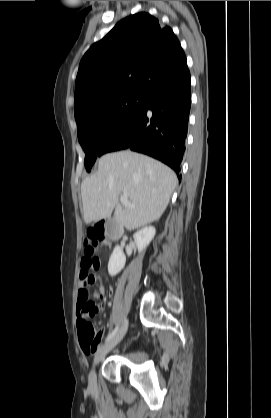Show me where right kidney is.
Returning <instances> with one entry per match:
<instances>
[{
  "instance_id": "obj_1",
  "label": "right kidney",
  "mask_w": 271,
  "mask_h": 418,
  "mask_svg": "<svg viewBox=\"0 0 271 418\" xmlns=\"http://www.w3.org/2000/svg\"><path fill=\"white\" fill-rule=\"evenodd\" d=\"M155 234L156 229L153 226H147L140 229L133 235L139 253H141L150 244ZM125 262L126 257L122 248L119 246L115 247L108 262L109 274L111 276L117 275L124 268Z\"/></svg>"
}]
</instances>
